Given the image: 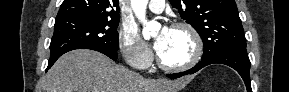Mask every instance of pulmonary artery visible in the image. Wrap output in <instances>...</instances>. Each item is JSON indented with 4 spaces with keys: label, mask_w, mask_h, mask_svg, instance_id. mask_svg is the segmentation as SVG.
Returning a JSON list of instances; mask_svg holds the SVG:
<instances>
[{
    "label": "pulmonary artery",
    "mask_w": 289,
    "mask_h": 92,
    "mask_svg": "<svg viewBox=\"0 0 289 92\" xmlns=\"http://www.w3.org/2000/svg\"><path fill=\"white\" fill-rule=\"evenodd\" d=\"M165 1L164 0H151L148 3V8L154 13H161L164 10Z\"/></svg>",
    "instance_id": "e3ab8cb5"
}]
</instances>
